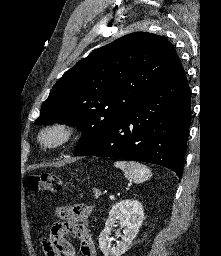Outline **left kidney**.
I'll return each instance as SVG.
<instances>
[{
  "mask_svg": "<svg viewBox=\"0 0 221 256\" xmlns=\"http://www.w3.org/2000/svg\"><path fill=\"white\" fill-rule=\"evenodd\" d=\"M143 219V206L137 200H124L113 205L109 211L105 228L99 236V248L104 256H121L124 254L136 238ZM117 221H119L120 227L124 228V235L118 231L117 236L121 237L122 241L118 242L116 247H111L109 235Z\"/></svg>",
  "mask_w": 221,
  "mask_h": 256,
  "instance_id": "obj_1",
  "label": "left kidney"
}]
</instances>
